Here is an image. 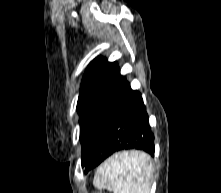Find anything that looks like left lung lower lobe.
<instances>
[{
	"label": "left lung lower lobe",
	"mask_w": 221,
	"mask_h": 193,
	"mask_svg": "<svg viewBox=\"0 0 221 193\" xmlns=\"http://www.w3.org/2000/svg\"><path fill=\"white\" fill-rule=\"evenodd\" d=\"M140 149L152 156L154 134L149 126L141 94L124 79L109 111V124L85 164V173L98 166L113 153Z\"/></svg>",
	"instance_id": "1"
}]
</instances>
